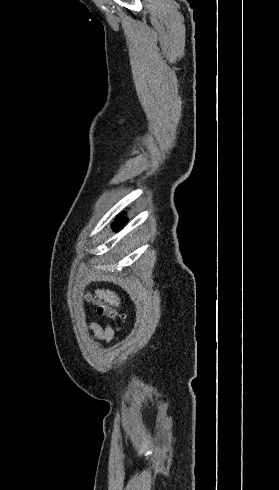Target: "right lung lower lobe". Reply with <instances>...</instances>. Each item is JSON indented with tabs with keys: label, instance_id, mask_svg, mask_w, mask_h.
Here are the masks:
<instances>
[{
	"label": "right lung lower lobe",
	"instance_id": "98d812e1",
	"mask_svg": "<svg viewBox=\"0 0 279 490\" xmlns=\"http://www.w3.org/2000/svg\"><path fill=\"white\" fill-rule=\"evenodd\" d=\"M127 221L128 219L120 216L119 219L113 224V230L118 231L127 223Z\"/></svg>",
	"mask_w": 279,
	"mask_h": 490
}]
</instances>
